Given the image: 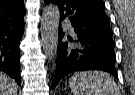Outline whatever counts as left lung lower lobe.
<instances>
[{"label": "left lung lower lobe", "mask_w": 135, "mask_h": 95, "mask_svg": "<svg viewBox=\"0 0 135 95\" xmlns=\"http://www.w3.org/2000/svg\"><path fill=\"white\" fill-rule=\"evenodd\" d=\"M75 33L74 38L68 37L70 43L63 42L65 32L59 26L56 72L52 87L76 71L103 70L118 78L112 33L77 29Z\"/></svg>", "instance_id": "left-lung-lower-lobe-1"}]
</instances>
